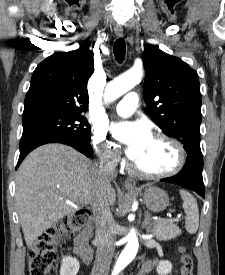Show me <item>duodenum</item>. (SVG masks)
Here are the masks:
<instances>
[{
	"instance_id": "duodenum-1",
	"label": "duodenum",
	"mask_w": 225,
	"mask_h": 275,
	"mask_svg": "<svg viewBox=\"0 0 225 275\" xmlns=\"http://www.w3.org/2000/svg\"><path fill=\"white\" fill-rule=\"evenodd\" d=\"M92 234L91 226H87L81 230L74 242V250L76 254L86 263L89 264L93 257V251L89 245V239Z\"/></svg>"
}]
</instances>
